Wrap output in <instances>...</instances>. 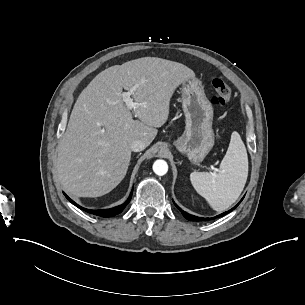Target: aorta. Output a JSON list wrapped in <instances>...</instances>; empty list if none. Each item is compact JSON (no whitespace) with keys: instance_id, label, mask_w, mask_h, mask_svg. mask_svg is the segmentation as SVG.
Returning <instances> with one entry per match:
<instances>
[{"instance_id":"aorta-1","label":"aorta","mask_w":305,"mask_h":305,"mask_svg":"<svg viewBox=\"0 0 305 305\" xmlns=\"http://www.w3.org/2000/svg\"><path fill=\"white\" fill-rule=\"evenodd\" d=\"M153 171L155 174L158 176H163L167 173L168 171V164L164 160H156L153 164Z\"/></svg>"}]
</instances>
